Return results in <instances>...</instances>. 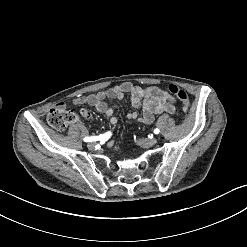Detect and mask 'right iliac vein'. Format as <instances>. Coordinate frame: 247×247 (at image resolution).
<instances>
[{"label":"right iliac vein","instance_id":"63e3f726","mask_svg":"<svg viewBox=\"0 0 247 247\" xmlns=\"http://www.w3.org/2000/svg\"><path fill=\"white\" fill-rule=\"evenodd\" d=\"M87 147H88L90 150H94V149H95V143H94V142H90V143H88Z\"/></svg>","mask_w":247,"mask_h":247}]
</instances>
